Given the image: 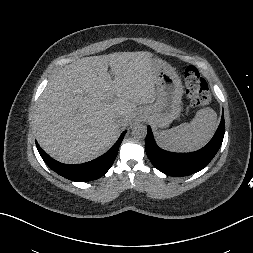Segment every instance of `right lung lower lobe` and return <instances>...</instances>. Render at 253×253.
Returning <instances> with one entry per match:
<instances>
[{"label":"right lung lower lobe","instance_id":"1","mask_svg":"<svg viewBox=\"0 0 253 253\" xmlns=\"http://www.w3.org/2000/svg\"><path fill=\"white\" fill-rule=\"evenodd\" d=\"M126 132H123L117 142L102 156L83 164L68 165L60 163L47 155L38 145L37 149L45 163L59 175L77 182L96 180L103 176L112 166L119 146Z\"/></svg>","mask_w":253,"mask_h":253}]
</instances>
